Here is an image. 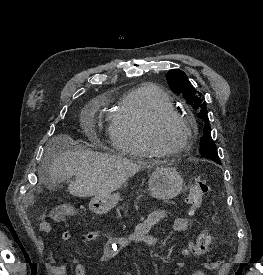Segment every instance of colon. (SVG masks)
Here are the masks:
<instances>
[{"mask_svg": "<svg viewBox=\"0 0 263 275\" xmlns=\"http://www.w3.org/2000/svg\"><path fill=\"white\" fill-rule=\"evenodd\" d=\"M211 190L209 183L204 179H197L191 186L187 198L190 212L196 211L200 205L204 195ZM72 214L70 208L55 209L50 213V219L54 222H62L66 216ZM213 244V236L208 232L199 234L196 239L189 245L187 252L194 255H202L206 253ZM221 261H209L205 263L204 268L207 270H216L221 266ZM193 275H205L203 270H197Z\"/></svg>", "mask_w": 263, "mask_h": 275, "instance_id": "1", "label": "colon"}]
</instances>
